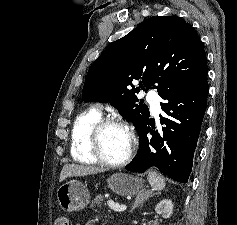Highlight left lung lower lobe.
Instances as JSON below:
<instances>
[{"mask_svg": "<svg viewBox=\"0 0 237 225\" xmlns=\"http://www.w3.org/2000/svg\"><path fill=\"white\" fill-rule=\"evenodd\" d=\"M209 86L207 77L194 87L185 86L161 95L165 101L160 115L162 127L156 128L152 119H146L138 130L137 157L125 168L143 173L156 167L168 177L187 183L193 157L207 107ZM147 134H151L150 139Z\"/></svg>", "mask_w": 237, "mask_h": 225, "instance_id": "left-lung-lower-lobe-1", "label": "left lung lower lobe"}]
</instances>
